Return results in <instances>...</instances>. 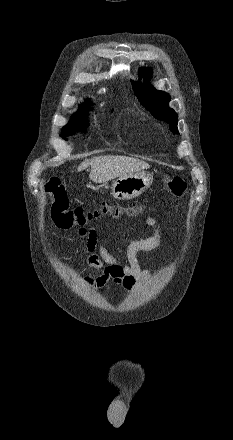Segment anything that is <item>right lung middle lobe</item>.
Instances as JSON below:
<instances>
[{
  "instance_id": "obj_1",
  "label": "right lung middle lobe",
  "mask_w": 233,
  "mask_h": 440,
  "mask_svg": "<svg viewBox=\"0 0 233 440\" xmlns=\"http://www.w3.org/2000/svg\"><path fill=\"white\" fill-rule=\"evenodd\" d=\"M86 114L87 109H80V113L73 115L68 125L63 128L64 135H71L79 128H85L87 126Z\"/></svg>"
}]
</instances>
